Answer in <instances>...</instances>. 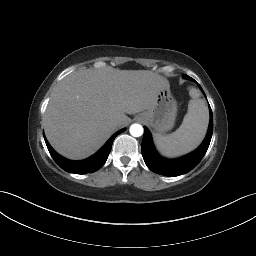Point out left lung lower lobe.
<instances>
[{
    "label": "left lung lower lobe",
    "mask_w": 256,
    "mask_h": 256,
    "mask_svg": "<svg viewBox=\"0 0 256 256\" xmlns=\"http://www.w3.org/2000/svg\"><path fill=\"white\" fill-rule=\"evenodd\" d=\"M187 79L195 81L189 76L187 77ZM200 89L202 90L201 87ZM212 133H213V115H212V110L210 108L209 128H208L206 138L201 144V146L194 152L184 157L170 160V159H165L159 156V154L154 148L149 130L146 127H144V136H143L142 146H141L143 159L147 167L151 171L157 174L165 175V176H179V175L185 174L190 170H192L205 155L211 141Z\"/></svg>",
    "instance_id": "0a47b994"
}]
</instances>
